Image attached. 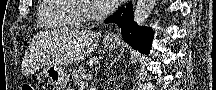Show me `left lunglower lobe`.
I'll use <instances>...</instances> for the list:
<instances>
[{
	"mask_svg": "<svg viewBox=\"0 0 216 90\" xmlns=\"http://www.w3.org/2000/svg\"><path fill=\"white\" fill-rule=\"evenodd\" d=\"M105 23L118 24L126 43L141 53L149 54L153 39L152 29L138 26V24L134 22L131 3L128 4L126 8L121 7L115 14L110 16Z\"/></svg>",
	"mask_w": 216,
	"mask_h": 90,
	"instance_id": "obj_1",
	"label": "left lung lower lobe"
}]
</instances>
